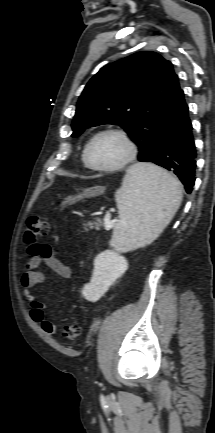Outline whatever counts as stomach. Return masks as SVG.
I'll use <instances>...</instances> for the list:
<instances>
[{
	"label": "stomach",
	"instance_id": "obj_1",
	"mask_svg": "<svg viewBox=\"0 0 215 433\" xmlns=\"http://www.w3.org/2000/svg\"><path fill=\"white\" fill-rule=\"evenodd\" d=\"M104 186H93L87 189H84L81 193H78L77 195L68 196L65 201L62 203V206L65 205H72L76 202L83 200L85 198H92L99 196L105 192Z\"/></svg>",
	"mask_w": 215,
	"mask_h": 433
}]
</instances>
